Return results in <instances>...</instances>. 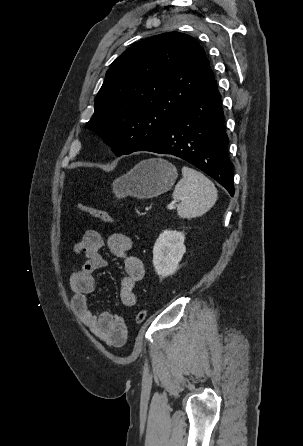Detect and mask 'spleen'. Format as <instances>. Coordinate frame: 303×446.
<instances>
[{
    "label": "spleen",
    "instance_id": "3e777b00",
    "mask_svg": "<svg viewBox=\"0 0 303 446\" xmlns=\"http://www.w3.org/2000/svg\"><path fill=\"white\" fill-rule=\"evenodd\" d=\"M183 178L176 184L173 199L181 200L177 213L182 218L205 214L217 200L215 185L201 172L184 166Z\"/></svg>",
    "mask_w": 303,
    "mask_h": 446
}]
</instances>
